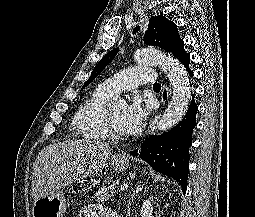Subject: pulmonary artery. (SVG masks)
<instances>
[{
    "label": "pulmonary artery",
    "instance_id": "pulmonary-artery-1",
    "mask_svg": "<svg viewBox=\"0 0 255 217\" xmlns=\"http://www.w3.org/2000/svg\"><path fill=\"white\" fill-rule=\"evenodd\" d=\"M155 74L152 69L144 67H132L125 69L106 79L102 86L111 95H117L121 91L130 90L140 84L152 83Z\"/></svg>",
    "mask_w": 255,
    "mask_h": 217
}]
</instances>
